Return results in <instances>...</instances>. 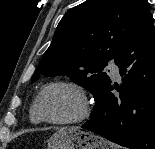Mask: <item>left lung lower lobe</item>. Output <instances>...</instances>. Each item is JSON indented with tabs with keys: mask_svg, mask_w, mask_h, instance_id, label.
Segmentation results:
<instances>
[{
	"mask_svg": "<svg viewBox=\"0 0 155 149\" xmlns=\"http://www.w3.org/2000/svg\"><path fill=\"white\" fill-rule=\"evenodd\" d=\"M123 84L111 82L96 96L82 128L130 149H155V27L148 15L115 57Z\"/></svg>",
	"mask_w": 155,
	"mask_h": 149,
	"instance_id": "1",
	"label": "left lung lower lobe"
}]
</instances>
